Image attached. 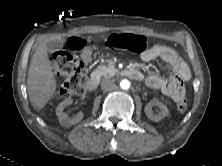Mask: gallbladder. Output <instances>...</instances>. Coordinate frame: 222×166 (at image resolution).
I'll list each match as a JSON object with an SVG mask.
<instances>
[{
  "instance_id": "1",
  "label": "gallbladder",
  "mask_w": 222,
  "mask_h": 166,
  "mask_svg": "<svg viewBox=\"0 0 222 166\" xmlns=\"http://www.w3.org/2000/svg\"><path fill=\"white\" fill-rule=\"evenodd\" d=\"M64 45V41L63 39H55V40H52V41H49L48 44H47V48L50 50V51H56L58 49H61Z\"/></svg>"
}]
</instances>
